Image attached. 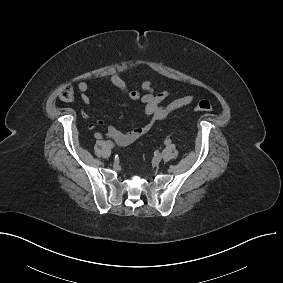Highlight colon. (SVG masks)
I'll return each instance as SVG.
<instances>
[{
    "label": "colon",
    "instance_id": "obj_1",
    "mask_svg": "<svg viewBox=\"0 0 283 283\" xmlns=\"http://www.w3.org/2000/svg\"><path fill=\"white\" fill-rule=\"evenodd\" d=\"M59 98L64 102H72L74 100V90L70 85L63 86L59 91ZM213 108L212 102L208 99L201 100L195 107V111L207 112Z\"/></svg>",
    "mask_w": 283,
    "mask_h": 283
}]
</instances>
